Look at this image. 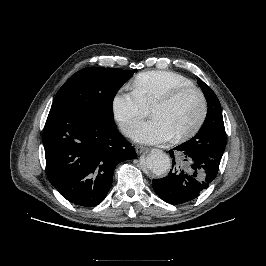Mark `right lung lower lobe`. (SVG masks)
Masks as SVG:
<instances>
[{"instance_id": "1", "label": "right lung lower lobe", "mask_w": 266, "mask_h": 266, "mask_svg": "<svg viewBox=\"0 0 266 266\" xmlns=\"http://www.w3.org/2000/svg\"><path fill=\"white\" fill-rule=\"evenodd\" d=\"M42 141L50 183L69 202L95 207L107 195L118 163L137 157L114 121L51 109Z\"/></svg>"}]
</instances>
